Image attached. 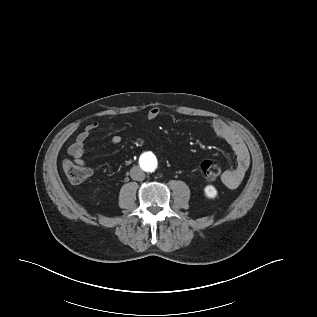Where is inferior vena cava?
Segmentation results:
<instances>
[{
    "mask_svg": "<svg viewBox=\"0 0 317 317\" xmlns=\"http://www.w3.org/2000/svg\"><path fill=\"white\" fill-rule=\"evenodd\" d=\"M130 176L133 180L142 181L145 179V173L139 166H134L130 170Z\"/></svg>",
    "mask_w": 317,
    "mask_h": 317,
    "instance_id": "obj_1",
    "label": "inferior vena cava"
}]
</instances>
